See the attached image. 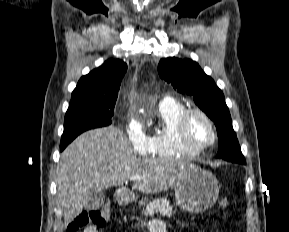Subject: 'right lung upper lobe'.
I'll return each mask as SVG.
<instances>
[{"instance_id": "1", "label": "right lung upper lobe", "mask_w": 289, "mask_h": 232, "mask_svg": "<svg viewBox=\"0 0 289 232\" xmlns=\"http://www.w3.org/2000/svg\"><path fill=\"white\" fill-rule=\"evenodd\" d=\"M127 65L121 60H107L89 74L83 76L74 91L72 99L79 97H112L118 95L121 79Z\"/></svg>"}]
</instances>
